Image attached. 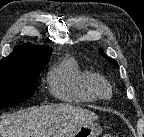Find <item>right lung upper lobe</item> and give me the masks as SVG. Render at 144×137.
Instances as JSON below:
<instances>
[{
  "instance_id": "right-lung-upper-lobe-1",
  "label": "right lung upper lobe",
  "mask_w": 144,
  "mask_h": 137,
  "mask_svg": "<svg viewBox=\"0 0 144 137\" xmlns=\"http://www.w3.org/2000/svg\"><path fill=\"white\" fill-rule=\"evenodd\" d=\"M52 48L44 46L23 45L17 46L14 51L0 61V66L18 64H40L49 62Z\"/></svg>"
}]
</instances>
